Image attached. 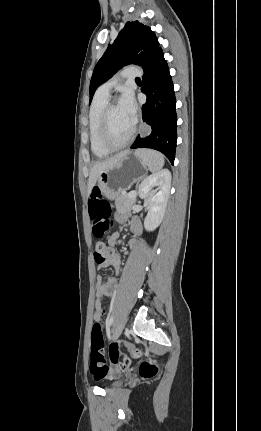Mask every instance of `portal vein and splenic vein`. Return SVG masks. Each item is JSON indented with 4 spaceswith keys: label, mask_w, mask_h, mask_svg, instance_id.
<instances>
[{
    "label": "portal vein and splenic vein",
    "mask_w": 261,
    "mask_h": 431,
    "mask_svg": "<svg viewBox=\"0 0 261 431\" xmlns=\"http://www.w3.org/2000/svg\"><path fill=\"white\" fill-rule=\"evenodd\" d=\"M136 191H131L130 193H129V198H134L135 196H136Z\"/></svg>",
    "instance_id": "obj_1"
}]
</instances>
